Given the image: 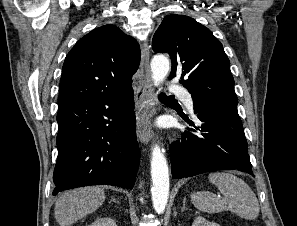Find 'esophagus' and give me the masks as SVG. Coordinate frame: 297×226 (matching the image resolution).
Instances as JSON below:
<instances>
[{
  "mask_svg": "<svg viewBox=\"0 0 297 226\" xmlns=\"http://www.w3.org/2000/svg\"><path fill=\"white\" fill-rule=\"evenodd\" d=\"M149 59L148 43L144 42L141 53L140 78L135 92L137 137L144 144H147L152 138L150 110L153 104V91Z\"/></svg>",
  "mask_w": 297,
  "mask_h": 226,
  "instance_id": "1",
  "label": "esophagus"
}]
</instances>
